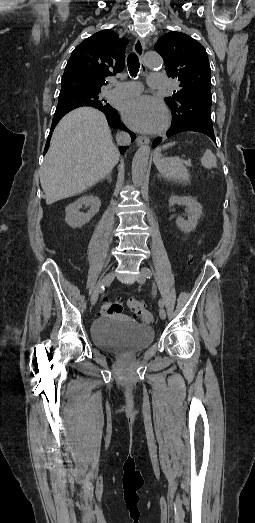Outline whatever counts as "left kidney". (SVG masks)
Returning a JSON list of instances; mask_svg holds the SVG:
<instances>
[{"label": "left kidney", "mask_w": 255, "mask_h": 523, "mask_svg": "<svg viewBox=\"0 0 255 523\" xmlns=\"http://www.w3.org/2000/svg\"><path fill=\"white\" fill-rule=\"evenodd\" d=\"M174 204L187 206L186 212L188 214V220H184V218H177V226H179L180 230H182L184 234L193 232L202 214V206L198 204L196 198H191V196H171V198H169V206H174Z\"/></svg>", "instance_id": "left-kidney-1"}]
</instances>
